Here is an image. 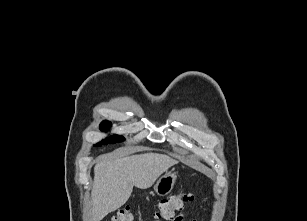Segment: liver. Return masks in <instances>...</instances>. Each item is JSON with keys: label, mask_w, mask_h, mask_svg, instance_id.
<instances>
[{"label": "liver", "mask_w": 307, "mask_h": 221, "mask_svg": "<svg viewBox=\"0 0 307 221\" xmlns=\"http://www.w3.org/2000/svg\"><path fill=\"white\" fill-rule=\"evenodd\" d=\"M177 163L167 155L145 153L98 162L94 167L92 221L102 220L123 206L133 186L151 187L161 174Z\"/></svg>", "instance_id": "liver-1"}]
</instances>
